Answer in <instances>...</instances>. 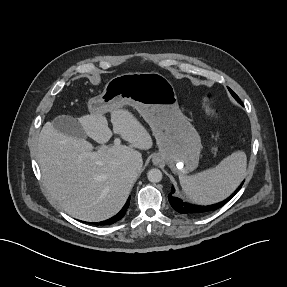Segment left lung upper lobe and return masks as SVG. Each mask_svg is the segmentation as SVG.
Here are the masks:
<instances>
[{"label": "left lung upper lobe", "mask_w": 287, "mask_h": 287, "mask_svg": "<svg viewBox=\"0 0 287 287\" xmlns=\"http://www.w3.org/2000/svg\"><path fill=\"white\" fill-rule=\"evenodd\" d=\"M228 89H229L230 93L232 94V96H233L240 104H242V103H241V100L239 99V97H238L230 88H228Z\"/></svg>", "instance_id": "obj_1"}]
</instances>
